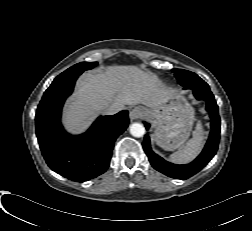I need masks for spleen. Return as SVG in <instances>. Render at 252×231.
<instances>
[{"mask_svg": "<svg viewBox=\"0 0 252 231\" xmlns=\"http://www.w3.org/2000/svg\"><path fill=\"white\" fill-rule=\"evenodd\" d=\"M204 144V130L200 122L193 131V137L186 143V146L171 154L170 160L177 164H185L192 161L201 151Z\"/></svg>", "mask_w": 252, "mask_h": 231, "instance_id": "obj_1", "label": "spleen"}]
</instances>
